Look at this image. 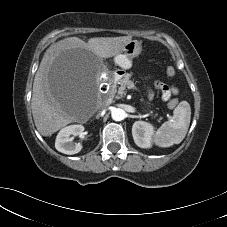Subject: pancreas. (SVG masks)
Masks as SVG:
<instances>
[{
    "mask_svg": "<svg viewBox=\"0 0 227 227\" xmlns=\"http://www.w3.org/2000/svg\"><path fill=\"white\" fill-rule=\"evenodd\" d=\"M131 73H126L123 78L116 81V84L119 85L118 90L113 93L116 98H122L126 94V88L130 86L131 80ZM156 116V115H155Z\"/></svg>",
    "mask_w": 227,
    "mask_h": 227,
    "instance_id": "cf45deb5",
    "label": "pancreas"
}]
</instances>
